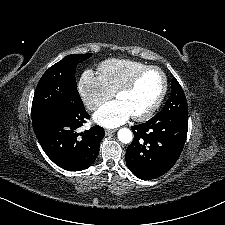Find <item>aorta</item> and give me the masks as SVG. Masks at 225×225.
I'll use <instances>...</instances> for the list:
<instances>
[{
  "mask_svg": "<svg viewBox=\"0 0 225 225\" xmlns=\"http://www.w3.org/2000/svg\"><path fill=\"white\" fill-rule=\"evenodd\" d=\"M117 135L121 143L128 144L132 142L133 134L128 128H121Z\"/></svg>",
  "mask_w": 225,
  "mask_h": 225,
  "instance_id": "obj_1",
  "label": "aorta"
}]
</instances>
